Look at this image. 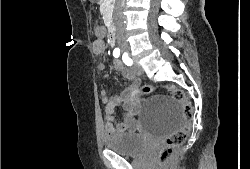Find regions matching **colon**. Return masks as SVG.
I'll list each match as a JSON object with an SVG mask.
<instances>
[{
  "instance_id": "5ec220e1",
  "label": "colon",
  "mask_w": 250,
  "mask_h": 169,
  "mask_svg": "<svg viewBox=\"0 0 250 169\" xmlns=\"http://www.w3.org/2000/svg\"><path fill=\"white\" fill-rule=\"evenodd\" d=\"M93 52H98V43H93ZM156 89L154 85H145V90H139V95H149V91ZM185 88H175L170 86V88H165V93H171L174 97V101H179L182 104L183 114L186 116V120H193L194 110L193 102L185 94ZM133 94L132 92L130 93ZM192 123L184 122L183 126H179L175 133L171 134L165 145H162V150H159L157 166L159 169H175V164L173 161V155H177V150H183V143L185 139H188V135H191Z\"/></svg>"
}]
</instances>
